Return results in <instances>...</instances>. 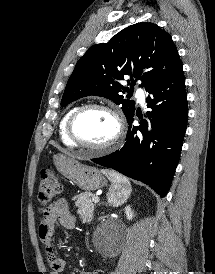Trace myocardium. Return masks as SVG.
Returning <instances> with one entry per match:
<instances>
[{"label": "myocardium", "instance_id": "f54148a6", "mask_svg": "<svg viewBox=\"0 0 215 274\" xmlns=\"http://www.w3.org/2000/svg\"><path fill=\"white\" fill-rule=\"evenodd\" d=\"M90 109H100V110L106 111L109 114H111L115 120V123H116L115 135L108 142H106L104 144H101V145L88 144V143L84 142L83 140H81L78 137V135L76 134L75 124H76L78 118L85 111L90 110ZM67 133H68V136L70 137V139L77 146L83 147L85 149H88V150H91L94 152L102 153V152H106V151L110 150L111 148H113L122 139V137L124 135V122H123L120 112L116 108H114L110 105L104 104V103H88V104H84L82 106L77 107V109L72 113V115L70 116L68 123H67Z\"/></svg>", "mask_w": 215, "mask_h": 274}]
</instances>
